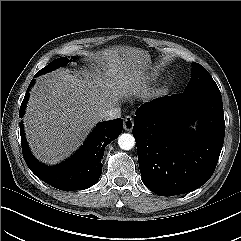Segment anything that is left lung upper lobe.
Wrapping results in <instances>:
<instances>
[{
  "label": "left lung upper lobe",
  "instance_id": "obj_1",
  "mask_svg": "<svg viewBox=\"0 0 241 241\" xmlns=\"http://www.w3.org/2000/svg\"><path fill=\"white\" fill-rule=\"evenodd\" d=\"M206 91L220 93L219 88L208 71L199 63H192V77L185 88V93Z\"/></svg>",
  "mask_w": 241,
  "mask_h": 241
}]
</instances>
